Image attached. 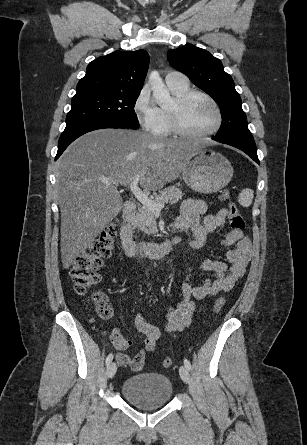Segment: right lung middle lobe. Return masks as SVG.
<instances>
[{"mask_svg": "<svg viewBox=\"0 0 307 445\" xmlns=\"http://www.w3.org/2000/svg\"><path fill=\"white\" fill-rule=\"evenodd\" d=\"M137 95L90 94L75 95L66 125L85 121H110L129 128H139L134 111Z\"/></svg>", "mask_w": 307, "mask_h": 445, "instance_id": "dd1d6c3e", "label": "right lung middle lobe"}]
</instances>
